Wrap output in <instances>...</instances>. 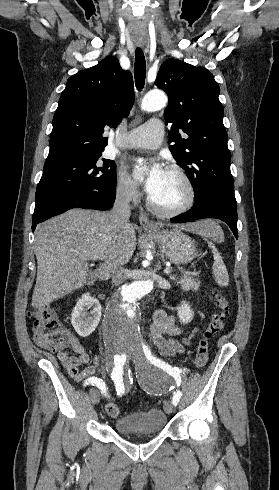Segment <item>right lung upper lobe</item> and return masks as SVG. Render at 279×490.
<instances>
[{
	"label": "right lung upper lobe",
	"instance_id": "cb5924a9",
	"mask_svg": "<svg viewBox=\"0 0 279 490\" xmlns=\"http://www.w3.org/2000/svg\"><path fill=\"white\" fill-rule=\"evenodd\" d=\"M132 74L114 56L71 76L53 117L46 162L104 150L106 125L116 128L134 103Z\"/></svg>",
	"mask_w": 279,
	"mask_h": 490
}]
</instances>
